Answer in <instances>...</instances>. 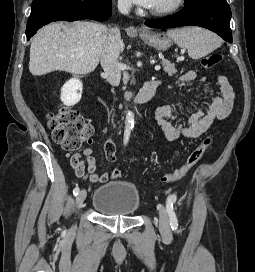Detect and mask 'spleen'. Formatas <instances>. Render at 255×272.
Wrapping results in <instances>:
<instances>
[{"label":"spleen","mask_w":255,"mask_h":272,"mask_svg":"<svg viewBox=\"0 0 255 272\" xmlns=\"http://www.w3.org/2000/svg\"><path fill=\"white\" fill-rule=\"evenodd\" d=\"M167 35L180 48L187 49L192 59H200L221 45V40L215 34L200 27L171 29Z\"/></svg>","instance_id":"3e777b00"}]
</instances>
